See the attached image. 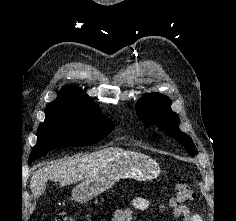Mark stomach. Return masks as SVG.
<instances>
[{
    "label": "stomach",
    "mask_w": 236,
    "mask_h": 221,
    "mask_svg": "<svg viewBox=\"0 0 236 221\" xmlns=\"http://www.w3.org/2000/svg\"><path fill=\"white\" fill-rule=\"evenodd\" d=\"M160 173L158 163L141 153L122 152L111 157L91 177L72 191L73 198L81 203L111 188L121 178L150 181Z\"/></svg>",
    "instance_id": "obj_1"
}]
</instances>
